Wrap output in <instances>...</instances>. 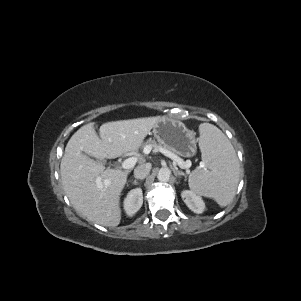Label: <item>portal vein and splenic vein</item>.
<instances>
[{
  "mask_svg": "<svg viewBox=\"0 0 301 301\" xmlns=\"http://www.w3.org/2000/svg\"><path fill=\"white\" fill-rule=\"evenodd\" d=\"M151 149H152V148H151L150 146H146V147L144 148V153H145V154H149V153L151 152ZM157 150H158L159 152H161L163 155H165V156L169 157L171 160H173L174 163H177L178 166H179L180 168H182V169H187V170L190 168V166H191V162H190V161L184 162V161H183L181 158H179L177 155L171 153L170 151H168V150H166V149H163V148H157ZM136 162H137V158H135V157H130V158L126 159V160L122 163V168H124V169H130V168H132V167L135 166ZM201 166H202V167L204 166L203 163H201ZM188 173H189V171H188Z\"/></svg>",
  "mask_w": 301,
  "mask_h": 301,
  "instance_id": "portal-vein-and-splenic-vein-1",
  "label": "portal vein and splenic vein"
}]
</instances>
